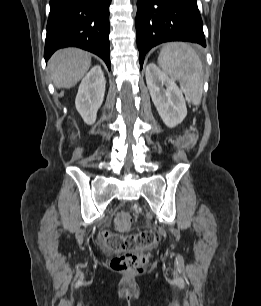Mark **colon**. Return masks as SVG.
Here are the masks:
<instances>
[{"label":"colon","mask_w":261,"mask_h":306,"mask_svg":"<svg viewBox=\"0 0 261 306\" xmlns=\"http://www.w3.org/2000/svg\"><path fill=\"white\" fill-rule=\"evenodd\" d=\"M192 134L181 137L179 144L187 146L192 141ZM114 224L120 233L104 231L102 238L107 249L115 252H123L111 260L112 270L121 273H140L146 270L148 265L147 255L139 250L153 246L157 237L152 230H143L137 233L127 234L133 226V217L130 213L121 211L115 216Z\"/></svg>","instance_id":"5ec220e1"}]
</instances>
